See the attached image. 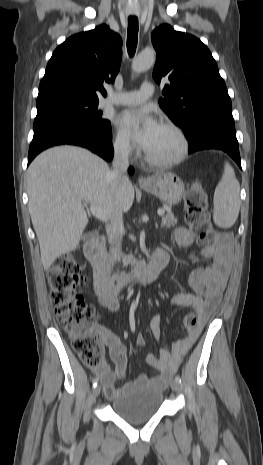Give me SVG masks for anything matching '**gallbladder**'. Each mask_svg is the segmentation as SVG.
Instances as JSON below:
<instances>
[{
	"label": "gallbladder",
	"mask_w": 263,
	"mask_h": 465,
	"mask_svg": "<svg viewBox=\"0 0 263 465\" xmlns=\"http://www.w3.org/2000/svg\"><path fill=\"white\" fill-rule=\"evenodd\" d=\"M87 238H88V235H85L83 239L85 240V239H87Z\"/></svg>",
	"instance_id": "obj_1"
}]
</instances>
